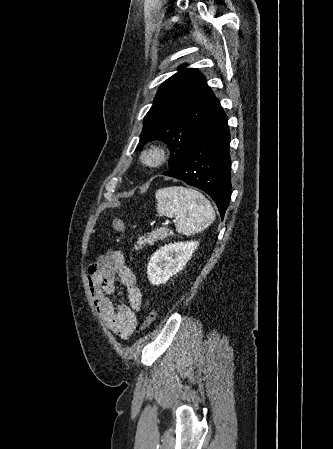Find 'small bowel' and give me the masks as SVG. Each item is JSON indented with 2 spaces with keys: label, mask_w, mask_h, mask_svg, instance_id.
Returning <instances> with one entry per match:
<instances>
[{
  "label": "small bowel",
  "mask_w": 333,
  "mask_h": 449,
  "mask_svg": "<svg viewBox=\"0 0 333 449\" xmlns=\"http://www.w3.org/2000/svg\"><path fill=\"white\" fill-rule=\"evenodd\" d=\"M116 279L126 291V303H115ZM88 283L94 306L106 326L121 338L131 336L138 325L142 293L123 254L108 251L98 257L88 268Z\"/></svg>",
  "instance_id": "obj_1"
}]
</instances>
